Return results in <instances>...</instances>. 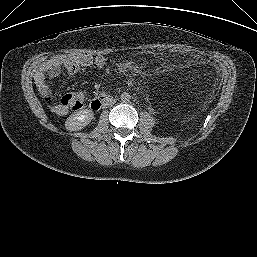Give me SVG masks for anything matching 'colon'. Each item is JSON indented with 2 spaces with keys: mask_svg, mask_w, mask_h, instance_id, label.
<instances>
[{
  "mask_svg": "<svg viewBox=\"0 0 257 257\" xmlns=\"http://www.w3.org/2000/svg\"><path fill=\"white\" fill-rule=\"evenodd\" d=\"M171 51L173 53H185L183 50L180 49H172ZM84 99L85 96L82 92L69 93L63 96L61 100V105L71 110H79L84 104ZM52 103L55 102L52 100Z\"/></svg>",
  "mask_w": 257,
  "mask_h": 257,
  "instance_id": "colon-1",
  "label": "colon"
}]
</instances>
